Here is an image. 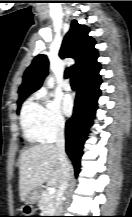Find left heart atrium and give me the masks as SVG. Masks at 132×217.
Listing matches in <instances>:
<instances>
[{
    "label": "left heart atrium",
    "mask_w": 132,
    "mask_h": 217,
    "mask_svg": "<svg viewBox=\"0 0 132 217\" xmlns=\"http://www.w3.org/2000/svg\"><path fill=\"white\" fill-rule=\"evenodd\" d=\"M73 98L70 95H66L62 99V110L66 115H70L73 111Z\"/></svg>",
    "instance_id": "obj_1"
}]
</instances>
